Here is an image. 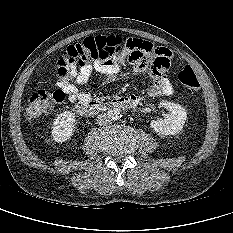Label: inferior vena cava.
I'll return each mask as SVG.
<instances>
[{"mask_svg":"<svg viewBox=\"0 0 233 233\" xmlns=\"http://www.w3.org/2000/svg\"><path fill=\"white\" fill-rule=\"evenodd\" d=\"M97 123L99 125H108L111 123V119L108 117L107 114L101 113L97 116Z\"/></svg>","mask_w":233,"mask_h":233,"instance_id":"602c4592","label":"inferior vena cava"}]
</instances>
